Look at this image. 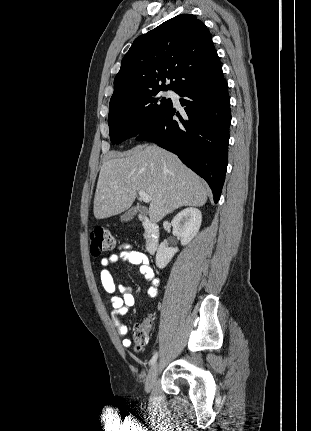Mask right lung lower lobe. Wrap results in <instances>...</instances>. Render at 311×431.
Here are the masks:
<instances>
[{"mask_svg": "<svg viewBox=\"0 0 311 431\" xmlns=\"http://www.w3.org/2000/svg\"><path fill=\"white\" fill-rule=\"evenodd\" d=\"M183 99L184 119L171 105L145 126L136 138L152 141L178 155L180 160L204 178L217 203L228 163L231 122L228 83L222 69L176 92ZM177 115L179 120H174Z\"/></svg>", "mask_w": 311, "mask_h": 431, "instance_id": "98d812e1", "label": "right lung lower lobe"}]
</instances>
